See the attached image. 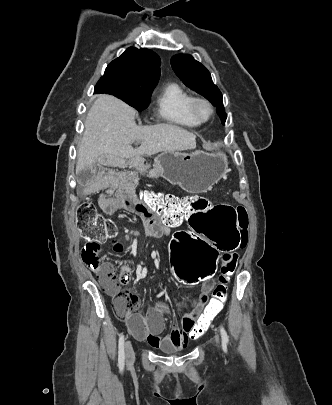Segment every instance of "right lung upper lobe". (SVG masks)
<instances>
[{
  "label": "right lung upper lobe",
  "mask_w": 332,
  "mask_h": 405,
  "mask_svg": "<svg viewBox=\"0 0 332 405\" xmlns=\"http://www.w3.org/2000/svg\"><path fill=\"white\" fill-rule=\"evenodd\" d=\"M160 62L159 56L153 51L130 47L107 66L104 75L116 74L137 83L157 84Z\"/></svg>",
  "instance_id": "obj_1"
}]
</instances>
